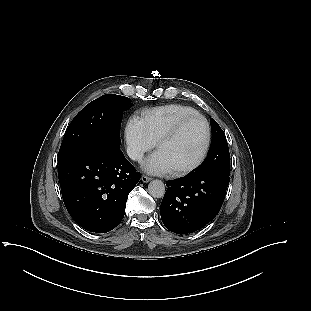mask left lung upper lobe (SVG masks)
I'll return each mask as SVG.
<instances>
[{"instance_id": "left-lung-upper-lobe-1", "label": "left lung upper lobe", "mask_w": 311, "mask_h": 311, "mask_svg": "<svg viewBox=\"0 0 311 311\" xmlns=\"http://www.w3.org/2000/svg\"><path fill=\"white\" fill-rule=\"evenodd\" d=\"M212 130L211 148L203 165L195 173L217 172L229 176L230 154L223 130L214 119H210Z\"/></svg>"}]
</instances>
